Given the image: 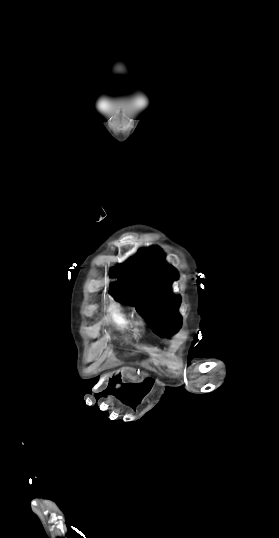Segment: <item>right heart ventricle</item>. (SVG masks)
<instances>
[{"instance_id":"right-heart-ventricle-1","label":"right heart ventricle","mask_w":279,"mask_h":538,"mask_svg":"<svg viewBox=\"0 0 279 538\" xmlns=\"http://www.w3.org/2000/svg\"><path fill=\"white\" fill-rule=\"evenodd\" d=\"M107 220V215L103 211H97L94 217L86 224V228L92 232H100L101 227ZM109 315L111 321L120 329H128L132 322L124 310L117 304H112L109 307Z\"/></svg>"}]
</instances>
